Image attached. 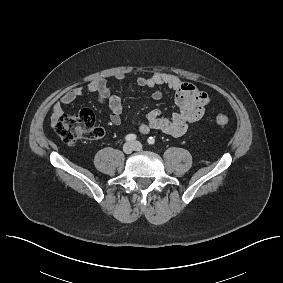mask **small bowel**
I'll return each instance as SVG.
<instances>
[{"label": "small bowel", "mask_w": 283, "mask_h": 283, "mask_svg": "<svg viewBox=\"0 0 283 283\" xmlns=\"http://www.w3.org/2000/svg\"><path fill=\"white\" fill-rule=\"evenodd\" d=\"M117 79L122 81L124 76L118 75ZM137 83L141 87L154 89L152 92L154 100H159L163 96L158 87H168L174 92L175 103L179 108L171 117L163 116L159 109L149 111L145 122L139 126V132L142 134H148L151 130H159L171 136H181L187 132L190 125L201 120L206 106L210 102V96L207 92L172 74L154 72L148 77H139ZM87 93L96 95L100 102L108 106L112 124L119 125L121 123L123 111L121 98L112 92L110 86L104 80H96L85 87H77L68 91L60 101L53 105L52 122L55 123L64 114L66 106Z\"/></svg>", "instance_id": "small-bowel-1"}]
</instances>
